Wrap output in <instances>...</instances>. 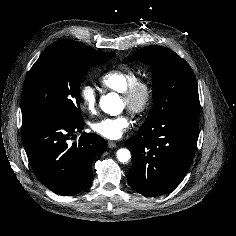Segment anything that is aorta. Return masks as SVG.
<instances>
[{
    "label": "aorta",
    "instance_id": "obj_1",
    "mask_svg": "<svg viewBox=\"0 0 236 236\" xmlns=\"http://www.w3.org/2000/svg\"><path fill=\"white\" fill-rule=\"evenodd\" d=\"M100 107L112 116L118 115L123 111V102L117 93H108L100 99ZM117 158L120 162H128L131 153L128 149L122 148L117 151Z\"/></svg>",
    "mask_w": 236,
    "mask_h": 236
}]
</instances>
